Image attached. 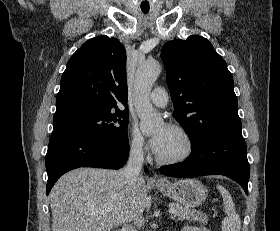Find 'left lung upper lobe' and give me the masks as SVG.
I'll return each mask as SVG.
<instances>
[{"label":"left lung upper lobe","instance_id":"5c2ea615","mask_svg":"<svg viewBox=\"0 0 280 231\" xmlns=\"http://www.w3.org/2000/svg\"><path fill=\"white\" fill-rule=\"evenodd\" d=\"M161 57L173 115L191 142L210 132L241 128L232 74L207 39L190 36L169 41Z\"/></svg>","mask_w":280,"mask_h":231}]
</instances>
